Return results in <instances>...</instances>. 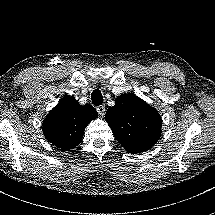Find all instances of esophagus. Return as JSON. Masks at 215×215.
I'll list each match as a JSON object with an SVG mask.
<instances>
[{"instance_id": "34e87169", "label": "esophagus", "mask_w": 215, "mask_h": 215, "mask_svg": "<svg viewBox=\"0 0 215 215\" xmlns=\"http://www.w3.org/2000/svg\"><path fill=\"white\" fill-rule=\"evenodd\" d=\"M96 110L100 115H104L106 111V107L104 105H100L96 107Z\"/></svg>"}]
</instances>
